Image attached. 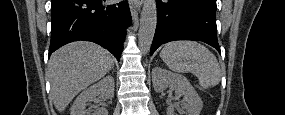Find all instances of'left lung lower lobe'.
Instances as JSON below:
<instances>
[{
    "instance_id": "0a47b994",
    "label": "left lung lower lobe",
    "mask_w": 285,
    "mask_h": 115,
    "mask_svg": "<svg viewBox=\"0 0 285 115\" xmlns=\"http://www.w3.org/2000/svg\"><path fill=\"white\" fill-rule=\"evenodd\" d=\"M157 27L151 55L173 40L203 41L220 52L217 41L216 0H156Z\"/></svg>"
}]
</instances>
